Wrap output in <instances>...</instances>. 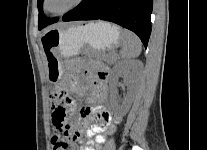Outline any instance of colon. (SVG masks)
I'll return each mask as SVG.
<instances>
[{
    "label": "colon",
    "mask_w": 207,
    "mask_h": 150,
    "mask_svg": "<svg viewBox=\"0 0 207 150\" xmlns=\"http://www.w3.org/2000/svg\"><path fill=\"white\" fill-rule=\"evenodd\" d=\"M54 111L50 121L53 122L52 149L53 150H79L76 140L78 133L71 132V121L69 119L71 99H69L66 90H58L52 94Z\"/></svg>",
    "instance_id": "1"
}]
</instances>
